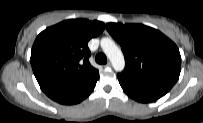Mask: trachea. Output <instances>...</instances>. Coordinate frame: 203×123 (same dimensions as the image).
I'll return each instance as SVG.
<instances>
[{
    "instance_id": "obj_1",
    "label": "trachea",
    "mask_w": 203,
    "mask_h": 123,
    "mask_svg": "<svg viewBox=\"0 0 203 123\" xmlns=\"http://www.w3.org/2000/svg\"><path fill=\"white\" fill-rule=\"evenodd\" d=\"M95 60L98 64H106L107 63V57L104 53H98L95 57Z\"/></svg>"
}]
</instances>
